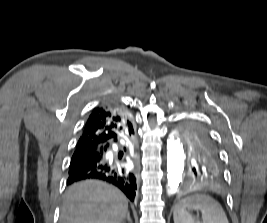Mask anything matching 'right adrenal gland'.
<instances>
[{"mask_svg":"<svg viewBox=\"0 0 267 223\" xmlns=\"http://www.w3.org/2000/svg\"><path fill=\"white\" fill-rule=\"evenodd\" d=\"M126 220H127L129 223H132V220H131V218H130V213H129V212H127L126 217L123 219V222H122V223H125Z\"/></svg>","mask_w":267,"mask_h":223,"instance_id":"right-adrenal-gland-1","label":"right adrenal gland"}]
</instances>
